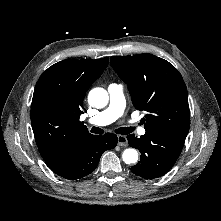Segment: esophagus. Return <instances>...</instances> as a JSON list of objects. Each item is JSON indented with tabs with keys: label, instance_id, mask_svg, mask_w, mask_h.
I'll return each mask as SVG.
<instances>
[{
	"label": "esophagus",
	"instance_id": "esophagus-1",
	"mask_svg": "<svg viewBox=\"0 0 221 221\" xmlns=\"http://www.w3.org/2000/svg\"><path fill=\"white\" fill-rule=\"evenodd\" d=\"M118 145L125 147L128 145V140L124 135H118Z\"/></svg>",
	"mask_w": 221,
	"mask_h": 221
}]
</instances>
